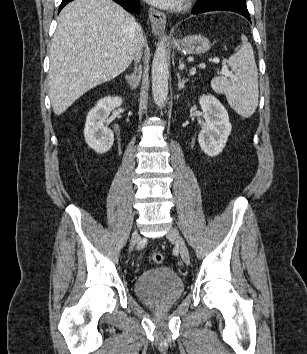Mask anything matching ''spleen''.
Masks as SVG:
<instances>
[{
  "label": "spleen",
  "instance_id": "3e777b00",
  "mask_svg": "<svg viewBox=\"0 0 307 354\" xmlns=\"http://www.w3.org/2000/svg\"><path fill=\"white\" fill-rule=\"evenodd\" d=\"M241 40L242 45L228 59L235 79L216 77L211 81V86L215 92L225 94L234 111L243 118H248L258 106V70L251 44L244 35Z\"/></svg>",
  "mask_w": 307,
  "mask_h": 354
}]
</instances>
